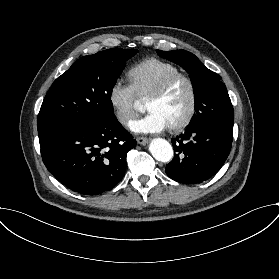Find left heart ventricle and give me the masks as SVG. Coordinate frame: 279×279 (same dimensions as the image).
Segmentation results:
<instances>
[{"instance_id": "b2bd125f", "label": "left heart ventricle", "mask_w": 279, "mask_h": 279, "mask_svg": "<svg viewBox=\"0 0 279 279\" xmlns=\"http://www.w3.org/2000/svg\"><path fill=\"white\" fill-rule=\"evenodd\" d=\"M190 88L185 81L178 82L161 99L147 100L149 111L160 114L170 125L177 124L186 116L190 105Z\"/></svg>"}]
</instances>
